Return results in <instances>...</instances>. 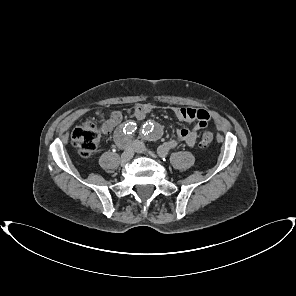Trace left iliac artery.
Wrapping results in <instances>:
<instances>
[{
    "instance_id": "obj_1",
    "label": "left iliac artery",
    "mask_w": 296,
    "mask_h": 296,
    "mask_svg": "<svg viewBox=\"0 0 296 296\" xmlns=\"http://www.w3.org/2000/svg\"><path fill=\"white\" fill-rule=\"evenodd\" d=\"M147 124L148 123L144 124L143 129L140 132V135L144 138H148V135L150 136V132L152 131V130H149L150 126Z\"/></svg>"
}]
</instances>
